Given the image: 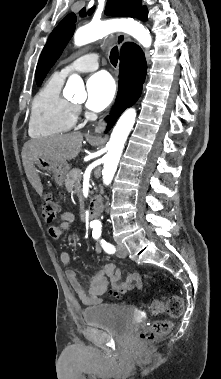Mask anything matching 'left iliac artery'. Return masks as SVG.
<instances>
[{
	"mask_svg": "<svg viewBox=\"0 0 221 379\" xmlns=\"http://www.w3.org/2000/svg\"><path fill=\"white\" fill-rule=\"evenodd\" d=\"M92 236L96 240H98L100 238L101 228L99 226L93 229ZM100 243H101V246L105 252H107L109 254L115 253L116 249L112 244L106 242L104 239L100 240Z\"/></svg>",
	"mask_w": 221,
	"mask_h": 379,
	"instance_id": "left-iliac-artery-1",
	"label": "left iliac artery"
}]
</instances>
